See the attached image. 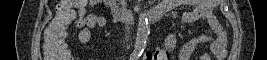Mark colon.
Listing matches in <instances>:
<instances>
[{
  "label": "colon",
  "mask_w": 267,
  "mask_h": 60,
  "mask_svg": "<svg viewBox=\"0 0 267 60\" xmlns=\"http://www.w3.org/2000/svg\"><path fill=\"white\" fill-rule=\"evenodd\" d=\"M84 0H64L56 10V15L51 27L45 33L43 41V54L47 60H69L71 54L65 46L67 28L74 18V8L76 5H83ZM78 28H82L84 23L76 20Z\"/></svg>",
  "instance_id": "obj_1"
}]
</instances>
